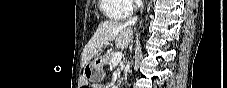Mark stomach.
<instances>
[{
  "mask_svg": "<svg viewBox=\"0 0 227 88\" xmlns=\"http://www.w3.org/2000/svg\"><path fill=\"white\" fill-rule=\"evenodd\" d=\"M104 58L96 57L94 61L84 66V77L89 81L96 82L103 76Z\"/></svg>",
  "mask_w": 227,
  "mask_h": 88,
  "instance_id": "obj_1",
  "label": "stomach"
}]
</instances>
